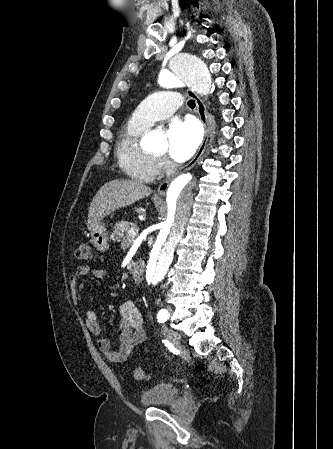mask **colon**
<instances>
[{
	"mask_svg": "<svg viewBox=\"0 0 333 449\" xmlns=\"http://www.w3.org/2000/svg\"><path fill=\"white\" fill-rule=\"evenodd\" d=\"M75 254L78 259L88 260L91 255L90 245L85 241L81 242L77 247ZM133 375L136 380H143L146 376L144 369H142L141 367L135 368L133 371Z\"/></svg>",
	"mask_w": 333,
	"mask_h": 449,
	"instance_id": "obj_1",
	"label": "colon"
}]
</instances>
